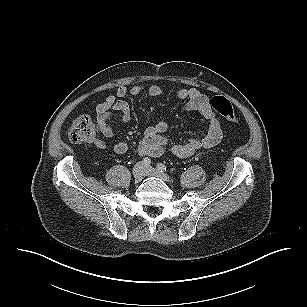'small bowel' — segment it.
I'll return each instance as SVG.
<instances>
[{
    "mask_svg": "<svg viewBox=\"0 0 307 307\" xmlns=\"http://www.w3.org/2000/svg\"><path fill=\"white\" fill-rule=\"evenodd\" d=\"M144 91L145 88L142 85H134L131 88L120 86L117 88L115 95L108 96L96 106V119L103 136L107 138L114 136V129L109 124L110 120L117 119L128 122L131 119V109L124 98L127 95H140ZM147 93L150 96H158L162 93V89L159 86H151L147 89ZM176 95L180 100L186 102L188 111L197 112L206 119L207 128L201 135H197L184 143L171 145L169 150L177 157L189 158L199 149H208L219 144L222 139V129L217 114L210 105L209 98L195 88H181ZM165 131L166 125L163 122H157L147 127L138 144V153L145 157L161 156L168 146V139L164 135ZM94 145L98 149L106 148V142L103 139H97ZM128 148V143L124 140H120L114 145V151L117 154L126 153Z\"/></svg>",
    "mask_w": 307,
    "mask_h": 307,
    "instance_id": "obj_1",
    "label": "small bowel"
}]
</instances>
